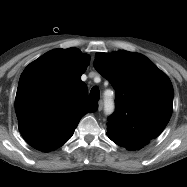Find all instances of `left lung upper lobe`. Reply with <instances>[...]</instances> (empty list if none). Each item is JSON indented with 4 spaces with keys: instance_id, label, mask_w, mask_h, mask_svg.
<instances>
[{
    "instance_id": "5c2ea615",
    "label": "left lung upper lobe",
    "mask_w": 187,
    "mask_h": 187,
    "mask_svg": "<svg viewBox=\"0 0 187 187\" xmlns=\"http://www.w3.org/2000/svg\"><path fill=\"white\" fill-rule=\"evenodd\" d=\"M94 67L116 92L108 137L129 150H139L159 136L173 109L168 76L144 55L125 50L96 53Z\"/></svg>"
}]
</instances>
